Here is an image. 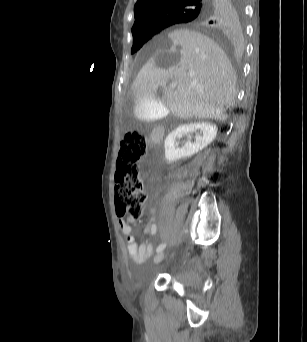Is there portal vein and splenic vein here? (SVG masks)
<instances>
[{
  "mask_svg": "<svg viewBox=\"0 0 307 342\" xmlns=\"http://www.w3.org/2000/svg\"><path fill=\"white\" fill-rule=\"evenodd\" d=\"M176 86H177V82H171L170 88H176Z\"/></svg>",
  "mask_w": 307,
  "mask_h": 342,
  "instance_id": "18ae733b",
  "label": "portal vein and splenic vein"
}]
</instances>
